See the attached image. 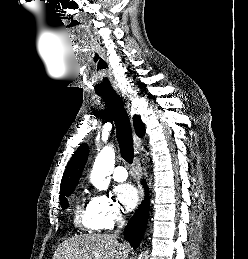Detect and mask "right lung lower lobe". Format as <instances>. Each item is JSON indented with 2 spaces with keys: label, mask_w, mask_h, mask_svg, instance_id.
Instances as JSON below:
<instances>
[{
  "label": "right lung lower lobe",
  "mask_w": 248,
  "mask_h": 259,
  "mask_svg": "<svg viewBox=\"0 0 248 259\" xmlns=\"http://www.w3.org/2000/svg\"><path fill=\"white\" fill-rule=\"evenodd\" d=\"M146 188V187H145ZM147 193V190H146ZM149 216V201L148 198L143 201L142 205L139 206L135 214L132 216L130 221L124 230V236L132 247L137 248L140 245L141 239L144 235L147 220Z\"/></svg>",
  "instance_id": "98d812e1"
}]
</instances>
